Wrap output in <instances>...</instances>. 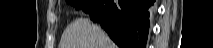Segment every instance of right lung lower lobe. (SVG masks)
Instances as JSON below:
<instances>
[{
    "label": "right lung lower lobe",
    "mask_w": 213,
    "mask_h": 48,
    "mask_svg": "<svg viewBox=\"0 0 213 48\" xmlns=\"http://www.w3.org/2000/svg\"><path fill=\"white\" fill-rule=\"evenodd\" d=\"M154 0H97L87 12L120 48H145Z\"/></svg>",
    "instance_id": "1"
}]
</instances>
